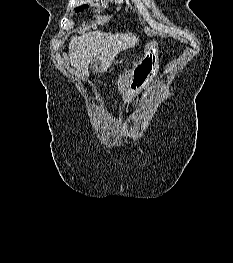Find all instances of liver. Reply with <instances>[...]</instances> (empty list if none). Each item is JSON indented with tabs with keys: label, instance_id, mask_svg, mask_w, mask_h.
Masks as SVG:
<instances>
[{
	"label": "liver",
	"instance_id": "liver-1",
	"mask_svg": "<svg viewBox=\"0 0 233 263\" xmlns=\"http://www.w3.org/2000/svg\"><path fill=\"white\" fill-rule=\"evenodd\" d=\"M138 37L132 32L105 33L93 31L71 38L69 43L70 63L82 78L88 76V66L94 59L100 62V72H105L115 57L128 48H133Z\"/></svg>",
	"mask_w": 233,
	"mask_h": 263
}]
</instances>
